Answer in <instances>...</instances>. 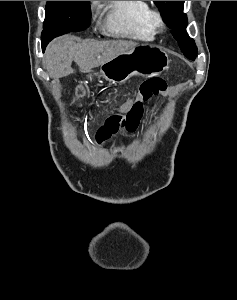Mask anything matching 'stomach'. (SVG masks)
<instances>
[{"label":"stomach","mask_w":237,"mask_h":300,"mask_svg":"<svg viewBox=\"0 0 237 300\" xmlns=\"http://www.w3.org/2000/svg\"><path fill=\"white\" fill-rule=\"evenodd\" d=\"M169 57L161 47L137 45L100 67L101 77L110 83H125L133 75L156 77L168 69Z\"/></svg>","instance_id":"1"}]
</instances>
